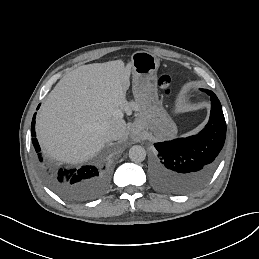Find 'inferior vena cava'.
Returning a JSON list of instances; mask_svg holds the SVG:
<instances>
[{
    "mask_svg": "<svg viewBox=\"0 0 259 259\" xmlns=\"http://www.w3.org/2000/svg\"><path fill=\"white\" fill-rule=\"evenodd\" d=\"M126 124L120 118L104 121L99 126V132L106 140H119L125 135Z\"/></svg>",
    "mask_w": 259,
    "mask_h": 259,
    "instance_id": "obj_1",
    "label": "inferior vena cava"
}]
</instances>
